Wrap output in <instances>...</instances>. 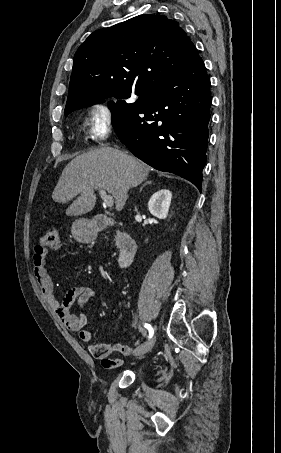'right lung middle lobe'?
I'll return each mask as SVG.
<instances>
[{"label": "right lung middle lobe", "mask_w": 281, "mask_h": 453, "mask_svg": "<svg viewBox=\"0 0 281 453\" xmlns=\"http://www.w3.org/2000/svg\"><path fill=\"white\" fill-rule=\"evenodd\" d=\"M69 113H65V116H67Z\"/></svg>", "instance_id": "dd1d6c3e"}]
</instances>
